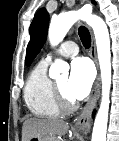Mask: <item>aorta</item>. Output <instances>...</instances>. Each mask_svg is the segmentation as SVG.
Segmentation results:
<instances>
[{
	"label": "aorta",
	"instance_id": "obj_1",
	"mask_svg": "<svg viewBox=\"0 0 119 141\" xmlns=\"http://www.w3.org/2000/svg\"><path fill=\"white\" fill-rule=\"evenodd\" d=\"M78 20H84L92 27L96 39L97 53L101 70L102 99L96 115L92 133V141H106V130L109 113V95L111 88V52L108 28L103 19L84 9L69 11L52 18L48 38L52 46L58 45L69 29ZM69 66L62 60H55L49 70V75L57 79L60 74L68 75Z\"/></svg>",
	"mask_w": 119,
	"mask_h": 141
}]
</instances>
